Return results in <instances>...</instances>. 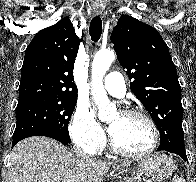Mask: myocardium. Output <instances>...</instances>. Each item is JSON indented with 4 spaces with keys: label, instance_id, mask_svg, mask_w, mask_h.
I'll return each instance as SVG.
<instances>
[{
    "label": "myocardium",
    "instance_id": "obj_1",
    "mask_svg": "<svg viewBox=\"0 0 196 182\" xmlns=\"http://www.w3.org/2000/svg\"><path fill=\"white\" fill-rule=\"evenodd\" d=\"M124 115L127 116H131V117H137V118H141L144 121H146V123L149 125L150 130H151V134H152V141L150 146L142 151V152H132V151H128L124 148H122L113 138V136H110V145L111 148L113 149L114 152L125 156V157H129V158H143L146 157L148 155H150L157 147L158 142H159V130L157 128L156 123L154 122V120L147 115L144 112L141 111H136V110H124L122 112Z\"/></svg>",
    "mask_w": 196,
    "mask_h": 182
}]
</instances>
